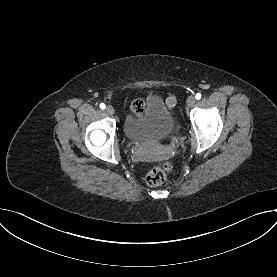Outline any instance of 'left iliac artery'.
<instances>
[{
    "label": "left iliac artery",
    "mask_w": 277,
    "mask_h": 277,
    "mask_svg": "<svg viewBox=\"0 0 277 277\" xmlns=\"http://www.w3.org/2000/svg\"><path fill=\"white\" fill-rule=\"evenodd\" d=\"M195 98H196L197 100H199V99L201 98V94H200V93H197L196 96H195Z\"/></svg>",
    "instance_id": "left-iliac-artery-1"
}]
</instances>
